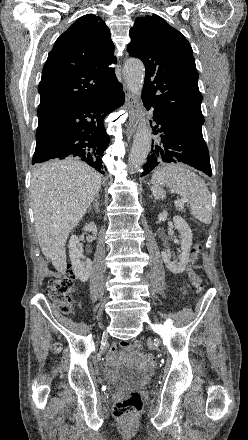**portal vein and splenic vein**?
<instances>
[{"mask_svg": "<svg viewBox=\"0 0 248 440\" xmlns=\"http://www.w3.org/2000/svg\"><path fill=\"white\" fill-rule=\"evenodd\" d=\"M187 201H188V200H186V199H183V200H181V201H175V205L183 206L184 203L187 202Z\"/></svg>", "mask_w": 248, "mask_h": 440, "instance_id": "obj_1", "label": "portal vein and splenic vein"}]
</instances>
